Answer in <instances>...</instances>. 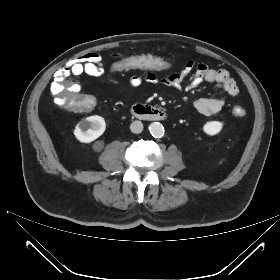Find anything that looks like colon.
<instances>
[{
	"label": "colon",
	"mask_w": 280,
	"mask_h": 280,
	"mask_svg": "<svg viewBox=\"0 0 280 280\" xmlns=\"http://www.w3.org/2000/svg\"><path fill=\"white\" fill-rule=\"evenodd\" d=\"M140 69L143 73L166 72L172 73L176 69L174 61L166 57H158L156 55L146 54H129L126 57L118 58L112 61L109 65V70L113 74H118L121 71L136 73ZM69 75V71L64 68L60 69L51 86L52 99L58 106L71 113L91 112L99 105V100L96 96L85 94L79 96L81 86L76 81L63 80V76ZM233 113L237 117L245 115V109L237 106L233 109Z\"/></svg>",
	"instance_id": "5ec220e1"
}]
</instances>
